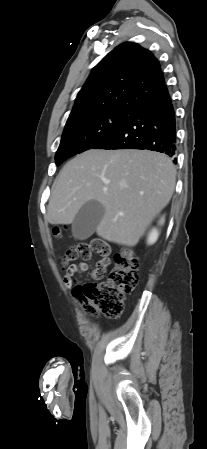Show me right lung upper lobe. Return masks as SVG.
I'll list each match as a JSON object with an SVG mask.
<instances>
[{
    "instance_id": "cb5924a9",
    "label": "right lung upper lobe",
    "mask_w": 207,
    "mask_h": 449,
    "mask_svg": "<svg viewBox=\"0 0 207 449\" xmlns=\"http://www.w3.org/2000/svg\"><path fill=\"white\" fill-rule=\"evenodd\" d=\"M168 93L157 59L136 43L126 42L92 70L68 119L109 109H132Z\"/></svg>"
}]
</instances>
